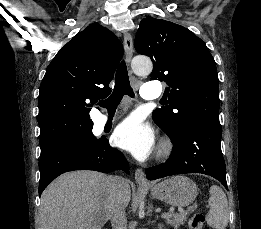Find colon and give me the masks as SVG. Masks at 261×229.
Masks as SVG:
<instances>
[{
	"mask_svg": "<svg viewBox=\"0 0 261 229\" xmlns=\"http://www.w3.org/2000/svg\"><path fill=\"white\" fill-rule=\"evenodd\" d=\"M205 224V216L197 213L192 216L187 222V229H203Z\"/></svg>",
	"mask_w": 261,
	"mask_h": 229,
	"instance_id": "colon-1",
	"label": "colon"
}]
</instances>
